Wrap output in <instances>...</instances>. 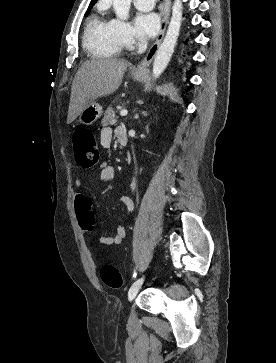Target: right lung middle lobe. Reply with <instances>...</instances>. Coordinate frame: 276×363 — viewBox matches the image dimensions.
I'll return each mask as SVG.
<instances>
[{
    "label": "right lung middle lobe",
    "mask_w": 276,
    "mask_h": 363,
    "mask_svg": "<svg viewBox=\"0 0 276 363\" xmlns=\"http://www.w3.org/2000/svg\"><path fill=\"white\" fill-rule=\"evenodd\" d=\"M92 7H89V9H91ZM90 10L87 12V15L89 14Z\"/></svg>",
    "instance_id": "dd1d6c3e"
}]
</instances>
